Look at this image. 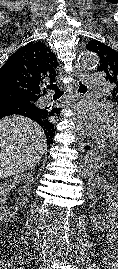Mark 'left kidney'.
I'll use <instances>...</instances> for the list:
<instances>
[{"instance_id":"1","label":"left kidney","mask_w":118,"mask_h":269,"mask_svg":"<svg viewBox=\"0 0 118 269\" xmlns=\"http://www.w3.org/2000/svg\"><path fill=\"white\" fill-rule=\"evenodd\" d=\"M98 190L107 194V212L104 218L91 217V223L96 230L103 232L112 227L118 218V187L109 184L103 177H97L90 186L89 196L95 198Z\"/></svg>"}]
</instances>
